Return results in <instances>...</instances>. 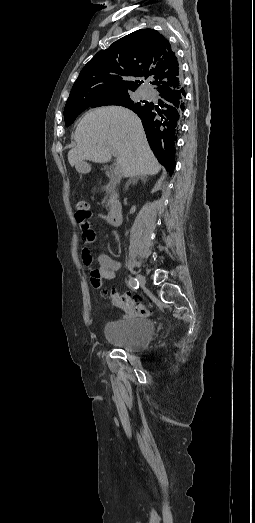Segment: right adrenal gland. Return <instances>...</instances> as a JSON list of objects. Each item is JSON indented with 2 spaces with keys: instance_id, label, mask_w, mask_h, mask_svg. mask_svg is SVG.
Returning <instances> with one entry per match:
<instances>
[{
  "instance_id": "1",
  "label": "right adrenal gland",
  "mask_w": 255,
  "mask_h": 523,
  "mask_svg": "<svg viewBox=\"0 0 255 523\" xmlns=\"http://www.w3.org/2000/svg\"><path fill=\"white\" fill-rule=\"evenodd\" d=\"M139 178H141V180H143V182H146L147 176H135V178H131V180H128L124 190H128V188H129L130 184H132V182H133V184H137V180H139Z\"/></svg>"
}]
</instances>
